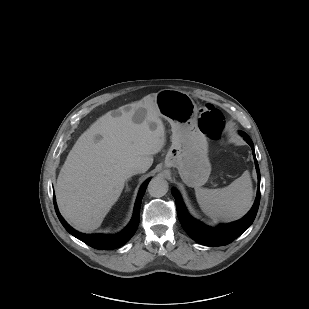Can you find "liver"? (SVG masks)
<instances>
[{
    "mask_svg": "<svg viewBox=\"0 0 309 309\" xmlns=\"http://www.w3.org/2000/svg\"><path fill=\"white\" fill-rule=\"evenodd\" d=\"M143 109L145 117H133ZM156 93L100 117L76 141L55 186L63 217L77 230L97 229L120 197L127 171L141 166L146 172L153 155L166 142ZM143 172V173H144Z\"/></svg>",
    "mask_w": 309,
    "mask_h": 309,
    "instance_id": "6515ba94",
    "label": "liver"
}]
</instances>
